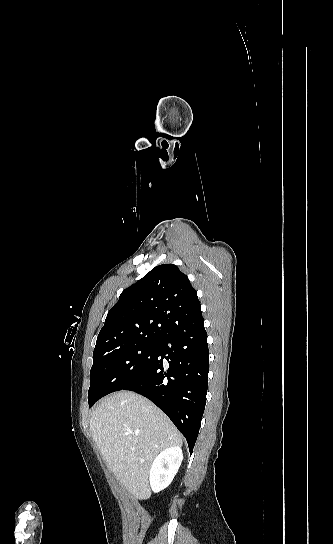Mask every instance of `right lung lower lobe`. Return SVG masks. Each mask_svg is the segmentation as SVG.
Returning <instances> with one entry per match:
<instances>
[{
	"label": "right lung lower lobe",
	"instance_id": "right-lung-lower-lobe-1",
	"mask_svg": "<svg viewBox=\"0 0 333 544\" xmlns=\"http://www.w3.org/2000/svg\"><path fill=\"white\" fill-rule=\"evenodd\" d=\"M209 350L201 316L158 340L155 357L121 390L150 399L185 436L192 453L205 409Z\"/></svg>",
	"mask_w": 333,
	"mask_h": 544
}]
</instances>
